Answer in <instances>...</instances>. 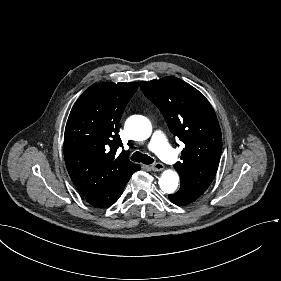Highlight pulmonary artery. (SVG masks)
Returning a JSON list of instances; mask_svg holds the SVG:
<instances>
[{
  "instance_id": "e3ab8cb5",
  "label": "pulmonary artery",
  "mask_w": 281,
  "mask_h": 281,
  "mask_svg": "<svg viewBox=\"0 0 281 281\" xmlns=\"http://www.w3.org/2000/svg\"><path fill=\"white\" fill-rule=\"evenodd\" d=\"M151 140L158 150L160 158L164 159L169 165H174L178 161V155L172 147L164 139V135L160 131H155L151 135Z\"/></svg>"
}]
</instances>
